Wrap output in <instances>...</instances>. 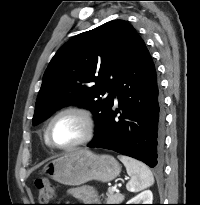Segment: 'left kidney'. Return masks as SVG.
<instances>
[{
    "mask_svg": "<svg viewBox=\"0 0 200 205\" xmlns=\"http://www.w3.org/2000/svg\"><path fill=\"white\" fill-rule=\"evenodd\" d=\"M153 194L150 190H145L130 199L126 204H152Z\"/></svg>",
    "mask_w": 200,
    "mask_h": 205,
    "instance_id": "left-kidney-1",
    "label": "left kidney"
}]
</instances>
